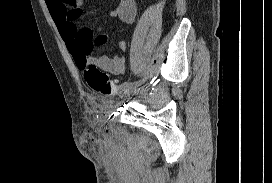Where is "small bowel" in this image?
<instances>
[{
	"label": "small bowel",
	"mask_w": 272,
	"mask_h": 183,
	"mask_svg": "<svg viewBox=\"0 0 272 183\" xmlns=\"http://www.w3.org/2000/svg\"><path fill=\"white\" fill-rule=\"evenodd\" d=\"M46 4L78 69L85 71L93 66L112 75L123 73L125 61L122 57L91 56L95 47L107 42L108 35L100 26L98 17H93L97 24L96 34L90 27L79 23L82 17V0H46ZM137 10L136 0H120L112 16L126 24H132ZM119 47L125 50L126 43L120 42Z\"/></svg>",
	"instance_id": "1"
}]
</instances>
